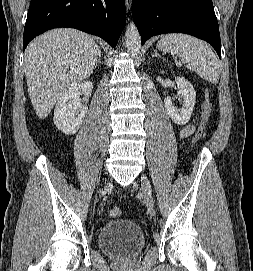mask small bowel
Returning a JSON list of instances; mask_svg holds the SVG:
<instances>
[{
	"label": "small bowel",
	"mask_w": 253,
	"mask_h": 271,
	"mask_svg": "<svg viewBox=\"0 0 253 271\" xmlns=\"http://www.w3.org/2000/svg\"><path fill=\"white\" fill-rule=\"evenodd\" d=\"M195 130H196L195 124H188L181 129L179 135L180 137H188L192 135L195 132Z\"/></svg>",
	"instance_id": "c3829d8e"
}]
</instances>
